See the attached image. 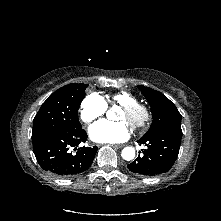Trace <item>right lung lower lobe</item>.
<instances>
[{
  "mask_svg": "<svg viewBox=\"0 0 221 221\" xmlns=\"http://www.w3.org/2000/svg\"><path fill=\"white\" fill-rule=\"evenodd\" d=\"M87 140V133L80 129L76 131H53L33 139V151L39 165L59 177H73L86 171L93 162L98 148L81 147L75 153L81 142Z\"/></svg>",
  "mask_w": 221,
  "mask_h": 221,
  "instance_id": "obj_1",
  "label": "right lung lower lobe"
}]
</instances>
